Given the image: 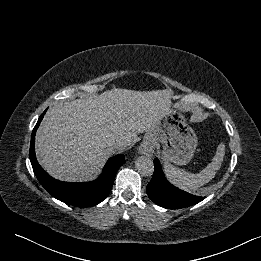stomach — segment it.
<instances>
[{"label": "stomach", "mask_w": 261, "mask_h": 261, "mask_svg": "<svg viewBox=\"0 0 261 261\" xmlns=\"http://www.w3.org/2000/svg\"><path fill=\"white\" fill-rule=\"evenodd\" d=\"M145 141L160 143L163 160L176 165H186L192 159L198 143L185 115L168 104L165 115L146 133Z\"/></svg>", "instance_id": "stomach-1"}]
</instances>
